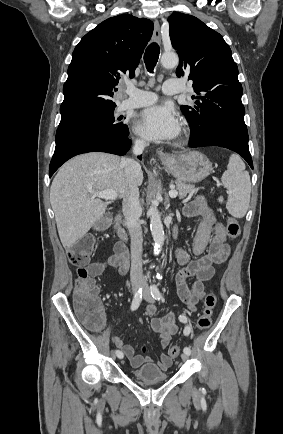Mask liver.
Returning a JSON list of instances; mask_svg holds the SVG:
<instances>
[{
    "instance_id": "6515ba94",
    "label": "liver",
    "mask_w": 283,
    "mask_h": 434,
    "mask_svg": "<svg viewBox=\"0 0 283 434\" xmlns=\"http://www.w3.org/2000/svg\"><path fill=\"white\" fill-rule=\"evenodd\" d=\"M121 161L116 155L92 152L74 157L59 169L51 185L50 202L65 249L82 238L106 211L107 204L90 191L113 190L117 197L125 196L128 184ZM142 182L140 170L137 186Z\"/></svg>"
}]
</instances>
